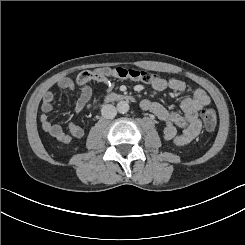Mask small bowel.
Returning <instances> with one entry per match:
<instances>
[{"label": "small bowel", "instance_id": "1", "mask_svg": "<svg viewBox=\"0 0 245 245\" xmlns=\"http://www.w3.org/2000/svg\"><path fill=\"white\" fill-rule=\"evenodd\" d=\"M111 70L109 68H102L87 74L91 77V80L105 83L107 89L110 90L114 85V82L109 80L112 78ZM57 85L62 89H74V83L69 78L60 79ZM151 87L156 91L170 89L179 94L190 92V88L184 81L175 78H156L151 83ZM92 95L93 88L90 85H84L75 103L74 113H79L90 101ZM53 99V90H47L43 95L40 105V123L43 130L57 141L65 144L70 143L73 138H81L84 135V131L73 122L69 123L68 132H66L59 124L51 121L48 114L53 109ZM210 101V96L205 90L196 89L191 97H186L181 102L183 114L171 111L163 105L149 100H144L142 107L153 113L164 123L163 136L165 140L173 142L176 146H185L200 133L202 124L198 113L204 106L209 105Z\"/></svg>", "mask_w": 245, "mask_h": 245}]
</instances>
